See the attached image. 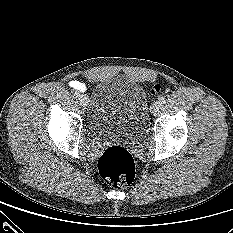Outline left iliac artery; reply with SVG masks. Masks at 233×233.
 Listing matches in <instances>:
<instances>
[{
  "mask_svg": "<svg viewBox=\"0 0 233 233\" xmlns=\"http://www.w3.org/2000/svg\"><path fill=\"white\" fill-rule=\"evenodd\" d=\"M159 102H160L161 104H164V103H165V96H160V97H159Z\"/></svg>",
  "mask_w": 233,
  "mask_h": 233,
  "instance_id": "1",
  "label": "left iliac artery"
}]
</instances>
